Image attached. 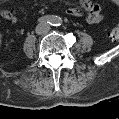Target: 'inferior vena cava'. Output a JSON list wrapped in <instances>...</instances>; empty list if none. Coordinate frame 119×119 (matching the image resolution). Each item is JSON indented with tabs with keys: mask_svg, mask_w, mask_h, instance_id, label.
<instances>
[{
	"mask_svg": "<svg viewBox=\"0 0 119 119\" xmlns=\"http://www.w3.org/2000/svg\"><path fill=\"white\" fill-rule=\"evenodd\" d=\"M50 30V25L47 24V23H42V24H39L37 27H36V33L41 35V34H46L48 33Z\"/></svg>",
	"mask_w": 119,
	"mask_h": 119,
	"instance_id": "602c4592",
	"label": "inferior vena cava"
}]
</instances>
